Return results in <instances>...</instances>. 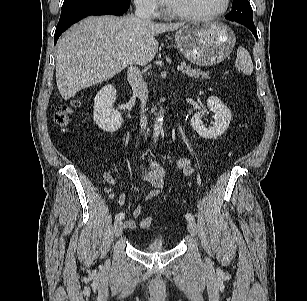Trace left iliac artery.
Here are the masks:
<instances>
[{"mask_svg":"<svg viewBox=\"0 0 307 301\" xmlns=\"http://www.w3.org/2000/svg\"><path fill=\"white\" fill-rule=\"evenodd\" d=\"M185 217H186V219H187L188 221H194V220H195L194 215L191 214V213H187V214L185 215Z\"/></svg>","mask_w":307,"mask_h":301,"instance_id":"44dca946","label":"left iliac artery"}]
</instances>
